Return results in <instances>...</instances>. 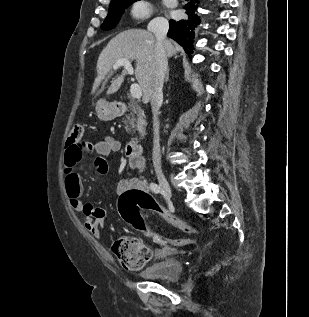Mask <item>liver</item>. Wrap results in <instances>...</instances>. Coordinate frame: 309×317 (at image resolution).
I'll list each match as a JSON object with an SVG mask.
<instances>
[{"instance_id":"1","label":"liver","mask_w":309,"mask_h":317,"mask_svg":"<svg viewBox=\"0 0 309 317\" xmlns=\"http://www.w3.org/2000/svg\"><path fill=\"white\" fill-rule=\"evenodd\" d=\"M171 50L165 51L166 57H171L180 47L171 43ZM160 45L156 37L146 30L130 29L116 35L102 50L97 61V77L95 78L92 94H95L113 65L120 59L135 60V77L143 93V102L148 103L152 96L154 72L157 63V53ZM125 73L112 81L107 93L119 90Z\"/></svg>"}]
</instances>
